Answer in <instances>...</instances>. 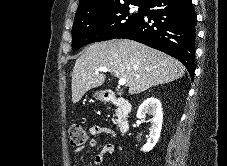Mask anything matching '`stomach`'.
I'll return each mask as SVG.
<instances>
[{
	"label": "stomach",
	"instance_id": "stomach-1",
	"mask_svg": "<svg viewBox=\"0 0 227 166\" xmlns=\"http://www.w3.org/2000/svg\"><path fill=\"white\" fill-rule=\"evenodd\" d=\"M95 97L98 99V100H103L104 99V93L103 91H97L95 93Z\"/></svg>",
	"mask_w": 227,
	"mask_h": 166
}]
</instances>
